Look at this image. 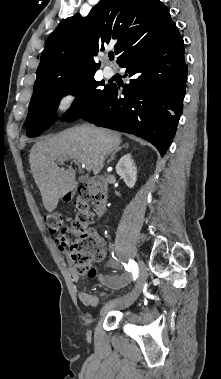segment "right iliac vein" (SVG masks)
I'll use <instances>...</instances> for the list:
<instances>
[{
    "mask_svg": "<svg viewBox=\"0 0 221 379\" xmlns=\"http://www.w3.org/2000/svg\"><path fill=\"white\" fill-rule=\"evenodd\" d=\"M139 269H140L139 279H138V282H137L135 288L132 290V292H130L129 294H127L126 296H124L122 298H118V299H115V300L108 302L102 308L101 314H105V313L109 312L110 310L117 308V307L129 306L139 297V295L142 291L143 284H144L145 280L147 279L146 267L142 261H140V263H139Z\"/></svg>",
    "mask_w": 221,
    "mask_h": 379,
    "instance_id": "right-iliac-vein-1",
    "label": "right iliac vein"
}]
</instances>
